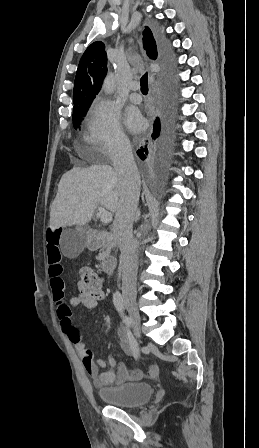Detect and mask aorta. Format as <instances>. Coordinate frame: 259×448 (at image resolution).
Listing matches in <instances>:
<instances>
[{
	"mask_svg": "<svg viewBox=\"0 0 259 448\" xmlns=\"http://www.w3.org/2000/svg\"><path fill=\"white\" fill-rule=\"evenodd\" d=\"M114 85H115V79L114 76L112 74L108 75L107 78L104 81L103 84V89L105 91V93H111L114 89Z\"/></svg>",
	"mask_w": 259,
	"mask_h": 448,
	"instance_id": "aorta-1",
	"label": "aorta"
}]
</instances>
